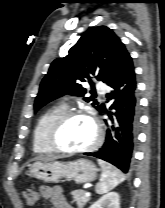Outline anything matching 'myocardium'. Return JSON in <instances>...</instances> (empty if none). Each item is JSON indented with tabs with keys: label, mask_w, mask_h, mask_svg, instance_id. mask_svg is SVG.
<instances>
[{
	"label": "myocardium",
	"mask_w": 165,
	"mask_h": 208,
	"mask_svg": "<svg viewBox=\"0 0 165 208\" xmlns=\"http://www.w3.org/2000/svg\"><path fill=\"white\" fill-rule=\"evenodd\" d=\"M74 117L88 118L92 122L95 128V137H94L93 142L85 148L66 149L59 145L58 134L61 131V129L64 127V125L70 119ZM102 135H103V132H102L101 125L98 119L92 113L83 109L66 110L59 117H57V119L49 127L47 134H46V141H47V144L50 146V148L56 153L76 155V154H85L96 149L102 141Z\"/></svg>",
	"instance_id": "obj_1"
}]
</instances>
